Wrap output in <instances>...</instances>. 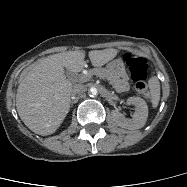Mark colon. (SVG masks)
Segmentation results:
<instances>
[{"mask_svg": "<svg viewBox=\"0 0 187 187\" xmlns=\"http://www.w3.org/2000/svg\"><path fill=\"white\" fill-rule=\"evenodd\" d=\"M124 60L135 82V90L140 95L149 98L150 93L146 82L148 69L146 59L139 55L126 53L124 55Z\"/></svg>", "mask_w": 187, "mask_h": 187, "instance_id": "1", "label": "colon"}]
</instances>
